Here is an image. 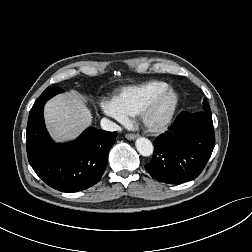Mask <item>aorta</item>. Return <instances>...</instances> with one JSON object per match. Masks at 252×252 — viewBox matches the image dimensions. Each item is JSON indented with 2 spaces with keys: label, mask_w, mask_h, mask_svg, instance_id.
Here are the masks:
<instances>
[{
  "label": "aorta",
  "mask_w": 252,
  "mask_h": 252,
  "mask_svg": "<svg viewBox=\"0 0 252 252\" xmlns=\"http://www.w3.org/2000/svg\"><path fill=\"white\" fill-rule=\"evenodd\" d=\"M135 146L137 151L142 156H150L153 154L154 147L151 141L145 137H139L136 139Z\"/></svg>",
  "instance_id": "762f6f07"
}]
</instances>
